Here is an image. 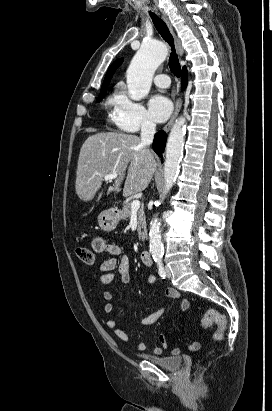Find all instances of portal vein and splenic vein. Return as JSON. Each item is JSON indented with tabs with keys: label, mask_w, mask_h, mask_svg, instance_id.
Returning <instances> with one entry per match:
<instances>
[{
	"label": "portal vein and splenic vein",
	"mask_w": 272,
	"mask_h": 411,
	"mask_svg": "<svg viewBox=\"0 0 272 411\" xmlns=\"http://www.w3.org/2000/svg\"><path fill=\"white\" fill-rule=\"evenodd\" d=\"M118 177V174L116 172L114 173H110L104 176V180L105 181H109V180H113L116 179ZM140 208V201L139 200H133L131 202V210H138Z\"/></svg>",
	"instance_id": "18ae733b"
}]
</instances>
